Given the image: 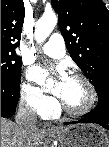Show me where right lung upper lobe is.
<instances>
[{
	"label": "right lung upper lobe",
	"mask_w": 109,
	"mask_h": 147,
	"mask_svg": "<svg viewBox=\"0 0 109 147\" xmlns=\"http://www.w3.org/2000/svg\"><path fill=\"white\" fill-rule=\"evenodd\" d=\"M23 0H1V48L15 51L24 22Z\"/></svg>",
	"instance_id": "1"
}]
</instances>
